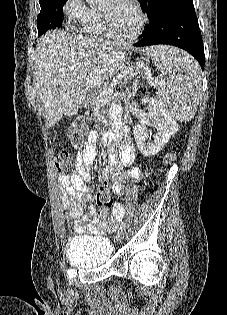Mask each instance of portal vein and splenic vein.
Returning a JSON list of instances; mask_svg holds the SVG:
<instances>
[{
    "label": "portal vein and splenic vein",
    "mask_w": 227,
    "mask_h": 315,
    "mask_svg": "<svg viewBox=\"0 0 227 315\" xmlns=\"http://www.w3.org/2000/svg\"><path fill=\"white\" fill-rule=\"evenodd\" d=\"M127 73H128V71L126 70V71H123V72H121L120 74H118L116 77L113 78L111 85L116 84L120 79H122V78L124 77V74H127ZM147 78H148V81H149V83H150L151 85H156V84L159 83V80H153V77H152V75H151V73H150L149 70H147ZM87 83H88L89 85H90V84L93 85V84L95 83V80L90 77V78L87 79ZM111 92H112V90L109 88V89H107V90H104V91L100 94V96L104 98L105 96L110 95Z\"/></svg>",
    "instance_id": "portal-vein-and-splenic-vein-1"
}]
</instances>
